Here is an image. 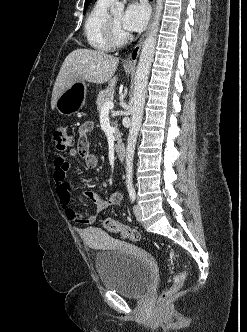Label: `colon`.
<instances>
[{"label": "colon", "mask_w": 247, "mask_h": 332, "mask_svg": "<svg viewBox=\"0 0 247 332\" xmlns=\"http://www.w3.org/2000/svg\"><path fill=\"white\" fill-rule=\"evenodd\" d=\"M53 141L58 151H66L73 145V138L68 130L63 126H58L53 130ZM103 227L109 232L118 233L123 238L138 241L139 232L127 225H123L114 219L107 218L103 221ZM186 279V272H181L172 277V285L165 290L160 297L161 302L169 300L183 285Z\"/></svg>", "instance_id": "5ec220e1"}]
</instances>
